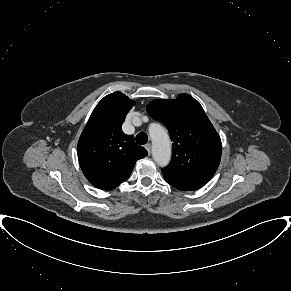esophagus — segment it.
Instances as JSON below:
<instances>
[{
  "instance_id": "1",
  "label": "esophagus",
  "mask_w": 291,
  "mask_h": 291,
  "mask_svg": "<svg viewBox=\"0 0 291 291\" xmlns=\"http://www.w3.org/2000/svg\"><path fill=\"white\" fill-rule=\"evenodd\" d=\"M145 148L148 151V153L150 154L151 153V144L150 143L146 144Z\"/></svg>"
}]
</instances>
